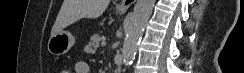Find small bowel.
Returning a JSON list of instances; mask_svg holds the SVG:
<instances>
[{"mask_svg": "<svg viewBox=\"0 0 244 73\" xmlns=\"http://www.w3.org/2000/svg\"><path fill=\"white\" fill-rule=\"evenodd\" d=\"M75 72L76 73H89V66L84 61H79L75 65Z\"/></svg>", "mask_w": 244, "mask_h": 73, "instance_id": "small-bowel-1", "label": "small bowel"}]
</instances>
